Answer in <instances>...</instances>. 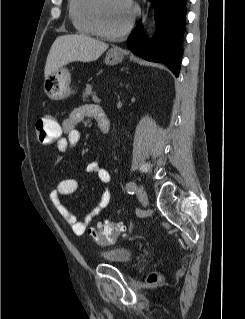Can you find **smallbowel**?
I'll list each match as a JSON object with an SVG mask.
<instances>
[{"instance_id": "small-bowel-1", "label": "small bowel", "mask_w": 245, "mask_h": 319, "mask_svg": "<svg viewBox=\"0 0 245 319\" xmlns=\"http://www.w3.org/2000/svg\"><path fill=\"white\" fill-rule=\"evenodd\" d=\"M102 109L97 105L85 104L75 108L69 116L62 122V136L57 142V150L65 152L81 141V133L77 129V125L86 118H95L102 113ZM60 161V157L56 158V164ZM89 172L97 176L98 180L108 185L111 182L110 173L103 168L98 162H94L89 166ZM79 181L74 178L63 179L58 182L50 193V200L63 219L68 224L75 235H83L91 221L100 215L111 203L112 194L109 189H104L101 193L98 203L91 211L81 220H77L73 213L61 202V196L70 195L77 191Z\"/></svg>"}]
</instances>
